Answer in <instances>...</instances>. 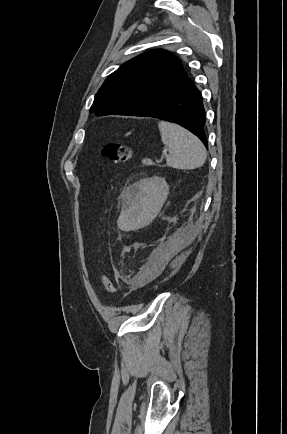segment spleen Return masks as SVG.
Instances as JSON below:
<instances>
[{"label": "spleen", "mask_w": 287, "mask_h": 434, "mask_svg": "<svg viewBox=\"0 0 287 434\" xmlns=\"http://www.w3.org/2000/svg\"><path fill=\"white\" fill-rule=\"evenodd\" d=\"M158 127L162 143L169 149L167 166L187 170L199 168L205 163L207 152L198 137L174 123L160 121Z\"/></svg>", "instance_id": "3e777b00"}]
</instances>
